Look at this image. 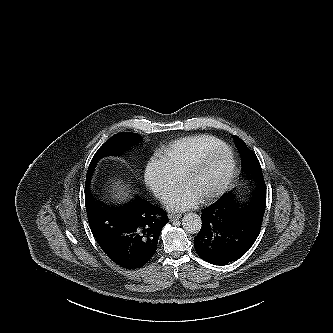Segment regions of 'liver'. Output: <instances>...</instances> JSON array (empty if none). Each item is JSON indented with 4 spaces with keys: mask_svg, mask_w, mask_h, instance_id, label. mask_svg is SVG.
Wrapping results in <instances>:
<instances>
[{
    "mask_svg": "<svg viewBox=\"0 0 333 333\" xmlns=\"http://www.w3.org/2000/svg\"><path fill=\"white\" fill-rule=\"evenodd\" d=\"M112 198L116 200H124L128 197L131 190L127 185H124L121 181H117L112 185Z\"/></svg>",
    "mask_w": 333,
    "mask_h": 333,
    "instance_id": "1",
    "label": "liver"
}]
</instances>
